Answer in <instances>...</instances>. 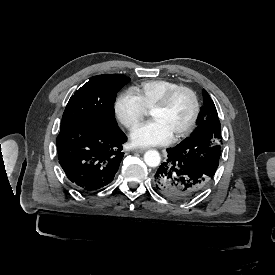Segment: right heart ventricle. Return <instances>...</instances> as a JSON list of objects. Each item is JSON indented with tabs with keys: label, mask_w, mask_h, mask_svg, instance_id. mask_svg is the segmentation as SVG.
I'll use <instances>...</instances> for the list:
<instances>
[{
	"label": "right heart ventricle",
	"mask_w": 275,
	"mask_h": 275,
	"mask_svg": "<svg viewBox=\"0 0 275 275\" xmlns=\"http://www.w3.org/2000/svg\"><path fill=\"white\" fill-rule=\"evenodd\" d=\"M175 86L177 84L169 80L150 79L136 85L133 92L147 109H151L167 91Z\"/></svg>",
	"instance_id": "1"
}]
</instances>
